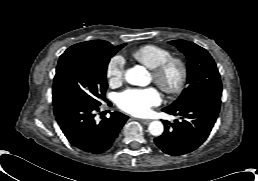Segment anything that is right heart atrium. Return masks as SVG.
I'll use <instances>...</instances> for the list:
<instances>
[{"instance_id": "obj_1", "label": "right heart atrium", "mask_w": 258, "mask_h": 181, "mask_svg": "<svg viewBox=\"0 0 258 181\" xmlns=\"http://www.w3.org/2000/svg\"><path fill=\"white\" fill-rule=\"evenodd\" d=\"M125 60L122 56L116 55L111 58L106 68V76L110 83L118 84L124 79Z\"/></svg>"}]
</instances>
